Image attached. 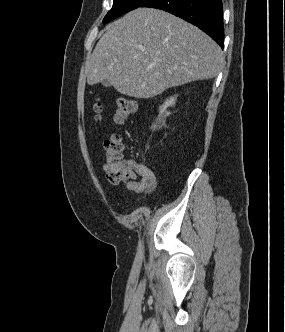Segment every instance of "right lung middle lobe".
<instances>
[{"label":"right lung middle lobe","instance_id":"right-lung-middle-lobe-1","mask_svg":"<svg viewBox=\"0 0 285 332\" xmlns=\"http://www.w3.org/2000/svg\"><path fill=\"white\" fill-rule=\"evenodd\" d=\"M146 0H113L112 9L103 19V23H108L114 18L139 7Z\"/></svg>","mask_w":285,"mask_h":332}]
</instances>
